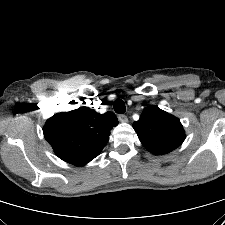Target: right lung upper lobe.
<instances>
[{"instance_id":"cb5924a9","label":"right lung upper lobe","mask_w":225,"mask_h":225,"mask_svg":"<svg viewBox=\"0 0 225 225\" xmlns=\"http://www.w3.org/2000/svg\"><path fill=\"white\" fill-rule=\"evenodd\" d=\"M118 119L112 112L99 114L88 107L58 113L47 120L45 139L62 160L83 166L99 155Z\"/></svg>"}]
</instances>
